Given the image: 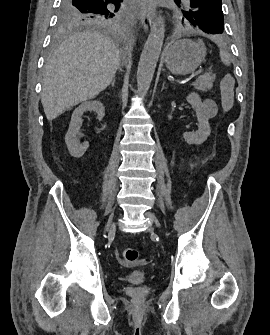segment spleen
Listing matches in <instances>:
<instances>
[{"label":"spleen","mask_w":270,"mask_h":335,"mask_svg":"<svg viewBox=\"0 0 270 335\" xmlns=\"http://www.w3.org/2000/svg\"><path fill=\"white\" fill-rule=\"evenodd\" d=\"M219 56L221 58V62H223V64H225V66H230V64H231L230 54H228V52H225V50H223V48H220Z\"/></svg>","instance_id":"1"}]
</instances>
